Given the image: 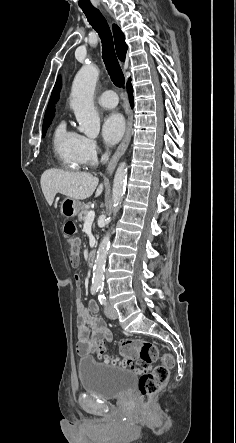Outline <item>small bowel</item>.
I'll list each match as a JSON object with an SVG mask.
<instances>
[{"mask_svg":"<svg viewBox=\"0 0 236 443\" xmlns=\"http://www.w3.org/2000/svg\"><path fill=\"white\" fill-rule=\"evenodd\" d=\"M75 282L80 285L81 278L75 275ZM81 289L76 290V328H77V353L85 355L92 351L100 342H111L113 336L111 332L105 327L102 319L94 316L98 312V306L94 301L85 305L81 300Z\"/></svg>","mask_w":236,"mask_h":443,"instance_id":"small-bowel-1","label":"small bowel"}]
</instances>
